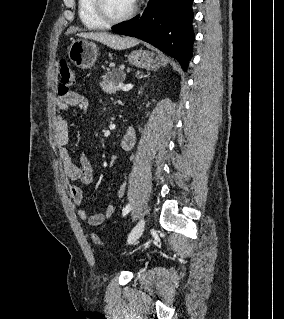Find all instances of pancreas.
<instances>
[{
  "mask_svg": "<svg viewBox=\"0 0 284 319\" xmlns=\"http://www.w3.org/2000/svg\"><path fill=\"white\" fill-rule=\"evenodd\" d=\"M117 72V70H113L103 75V81L100 83L101 89L109 94L115 93L120 87L119 85L124 81L125 74L122 71L119 72V77H114L113 73Z\"/></svg>",
  "mask_w": 284,
  "mask_h": 319,
  "instance_id": "cf45deb5",
  "label": "pancreas"
}]
</instances>
